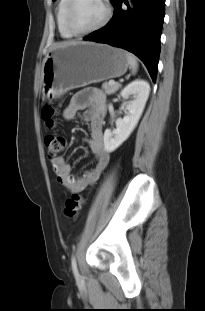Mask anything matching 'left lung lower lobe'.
<instances>
[{
  "instance_id": "0a47b994",
  "label": "left lung lower lobe",
  "mask_w": 205,
  "mask_h": 311,
  "mask_svg": "<svg viewBox=\"0 0 205 311\" xmlns=\"http://www.w3.org/2000/svg\"><path fill=\"white\" fill-rule=\"evenodd\" d=\"M122 2L128 9H122ZM112 3L115 9L111 21L84 40L106 43L135 54L155 82L165 0H114Z\"/></svg>"
}]
</instances>
